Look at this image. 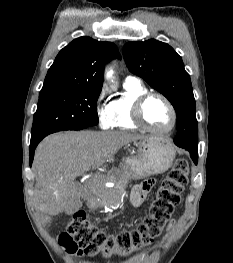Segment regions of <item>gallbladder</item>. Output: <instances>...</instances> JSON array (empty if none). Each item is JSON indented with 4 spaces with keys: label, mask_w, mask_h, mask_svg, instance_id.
I'll list each match as a JSON object with an SVG mask.
<instances>
[{
    "label": "gallbladder",
    "mask_w": 233,
    "mask_h": 263,
    "mask_svg": "<svg viewBox=\"0 0 233 263\" xmlns=\"http://www.w3.org/2000/svg\"><path fill=\"white\" fill-rule=\"evenodd\" d=\"M76 192L77 193L80 192V187L78 185H76ZM81 206H82V202L80 200V196H74L71 199V202L69 203L67 208L65 209V214L72 215L76 213L81 208Z\"/></svg>",
    "instance_id": "gallbladder-1"
}]
</instances>
